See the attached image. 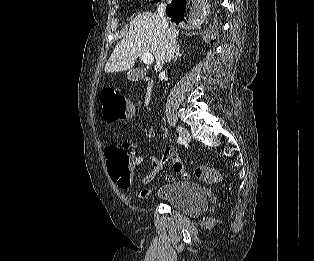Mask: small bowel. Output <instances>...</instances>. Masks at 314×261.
<instances>
[{
  "instance_id": "1",
  "label": "small bowel",
  "mask_w": 314,
  "mask_h": 261,
  "mask_svg": "<svg viewBox=\"0 0 314 261\" xmlns=\"http://www.w3.org/2000/svg\"><path fill=\"white\" fill-rule=\"evenodd\" d=\"M131 110H132V108H131ZM131 160H132V164H133L134 168L139 167L142 163V157L141 156L132 157ZM149 160H150L152 169L148 174H146L141 179L140 183L143 185H148L149 183H151L154 180V178L157 176V174L163 168L164 163L168 160L172 161L173 168H174L175 172H182L183 171L181 161L172 147H167L165 149V152H164V155L162 158H157L156 156L150 154ZM164 179L166 181H170L173 179V176L171 174H165ZM151 192H152L151 187L143 188L139 192V197L140 198H147L151 194Z\"/></svg>"
}]
</instances>
